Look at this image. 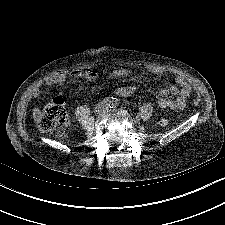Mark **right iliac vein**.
<instances>
[{
    "label": "right iliac vein",
    "mask_w": 225,
    "mask_h": 225,
    "mask_svg": "<svg viewBox=\"0 0 225 225\" xmlns=\"http://www.w3.org/2000/svg\"><path fill=\"white\" fill-rule=\"evenodd\" d=\"M94 112H95L96 114H100V112H101V107H100V106L96 107L95 110H94Z\"/></svg>",
    "instance_id": "63e3f726"
}]
</instances>
